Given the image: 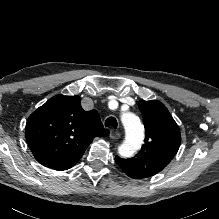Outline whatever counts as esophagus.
Instances as JSON below:
<instances>
[{
    "label": "esophagus",
    "instance_id": "1",
    "mask_svg": "<svg viewBox=\"0 0 219 219\" xmlns=\"http://www.w3.org/2000/svg\"><path fill=\"white\" fill-rule=\"evenodd\" d=\"M109 136L113 140H117V139L120 138V134L117 131H115V130H111Z\"/></svg>",
    "mask_w": 219,
    "mask_h": 219
}]
</instances>
